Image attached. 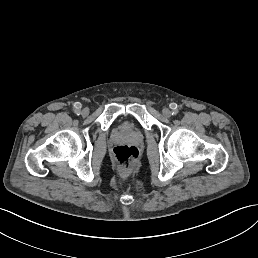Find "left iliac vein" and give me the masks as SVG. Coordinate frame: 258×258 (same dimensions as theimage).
<instances>
[{
  "mask_svg": "<svg viewBox=\"0 0 258 258\" xmlns=\"http://www.w3.org/2000/svg\"><path fill=\"white\" fill-rule=\"evenodd\" d=\"M163 114L166 118H169L171 116L170 110L168 108H165L163 110Z\"/></svg>",
  "mask_w": 258,
  "mask_h": 258,
  "instance_id": "1",
  "label": "left iliac vein"
}]
</instances>
